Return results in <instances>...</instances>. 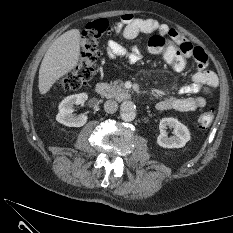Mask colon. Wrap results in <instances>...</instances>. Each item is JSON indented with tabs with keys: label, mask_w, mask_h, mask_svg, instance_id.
<instances>
[{
	"label": "colon",
	"mask_w": 233,
	"mask_h": 233,
	"mask_svg": "<svg viewBox=\"0 0 233 233\" xmlns=\"http://www.w3.org/2000/svg\"><path fill=\"white\" fill-rule=\"evenodd\" d=\"M110 30V23L106 19L94 20L87 24L82 32L79 62L72 72L59 81L60 89L78 90L92 79L95 62L100 56L101 38ZM148 48L152 53L162 55L167 64L175 71L185 70L186 57L169 37L160 34L153 35L148 41ZM213 119L214 111L208 110L199 117L197 126L201 129L207 128Z\"/></svg>",
	"instance_id": "obj_1"
}]
</instances>
